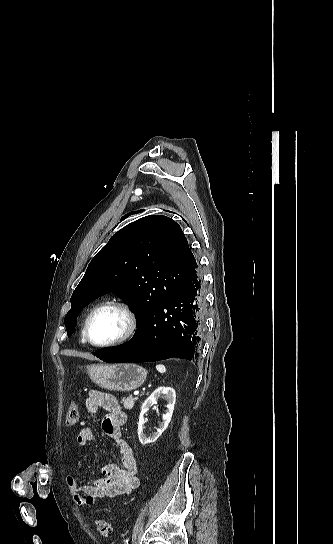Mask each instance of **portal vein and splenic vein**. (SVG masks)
Listing matches in <instances>:
<instances>
[{"label": "portal vein and splenic vein", "mask_w": 333, "mask_h": 544, "mask_svg": "<svg viewBox=\"0 0 333 544\" xmlns=\"http://www.w3.org/2000/svg\"><path fill=\"white\" fill-rule=\"evenodd\" d=\"M138 394H139V391H135V392H134V395H138Z\"/></svg>", "instance_id": "portal-vein-and-splenic-vein-1"}]
</instances>
